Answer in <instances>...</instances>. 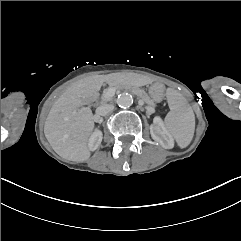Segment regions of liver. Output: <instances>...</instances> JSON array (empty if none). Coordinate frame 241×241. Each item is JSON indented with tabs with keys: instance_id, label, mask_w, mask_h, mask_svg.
I'll use <instances>...</instances> for the list:
<instances>
[{
	"instance_id": "6515ba94",
	"label": "liver",
	"mask_w": 241,
	"mask_h": 241,
	"mask_svg": "<svg viewBox=\"0 0 241 241\" xmlns=\"http://www.w3.org/2000/svg\"><path fill=\"white\" fill-rule=\"evenodd\" d=\"M121 75L111 73L78 80L52 105L46 118L44 134L54 151L70 161L84 162L91 157L89 138L95 123L89 104L103 83L116 86Z\"/></svg>"
}]
</instances>
